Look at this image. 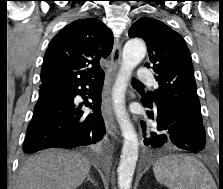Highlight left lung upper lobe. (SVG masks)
<instances>
[{
    "label": "left lung upper lobe",
    "instance_id": "left-lung-upper-lobe-1",
    "mask_svg": "<svg viewBox=\"0 0 223 189\" xmlns=\"http://www.w3.org/2000/svg\"><path fill=\"white\" fill-rule=\"evenodd\" d=\"M128 34L146 42L159 84V89L147 93L146 101L173 116L202 124L191 54L183 37L153 18L138 20ZM146 66L150 68L149 63Z\"/></svg>",
    "mask_w": 223,
    "mask_h": 189
}]
</instances>
